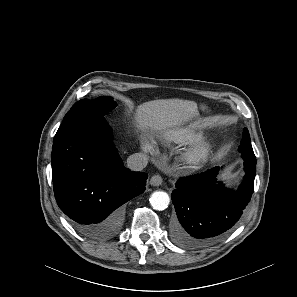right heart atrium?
<instances>
[{
	"label": "right heart atrium",
	"instance_id": "right-heart-atrium-1",
	"mask_svg": "<svg viewBox=\"0 0 297 297\" xmlns=\"http://www.w3.org/2000/svg\"><path fill=\"white\" fill-rule=\"evenodd\" d=\"M142 149L148 153H153V151H154L153 145L147 141L143 142Z\"/></svg>",
	"mask_w": 297,
	"mask_h": 297
}]
</instances>
